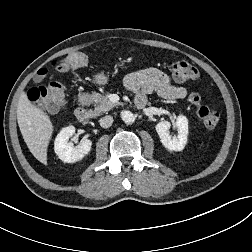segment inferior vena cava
Wrapping results in <instances>:
<instances>
[{
  "mask_svg": "<svg viewBox=\"0 0 252 252\" xmlns=\"http://www.w3.org/2000/svg\"><path fill=\"white\" fill-rule=\"evenodd\" d=\"M100 126L103 128H109L113 123V117L107 115L99 120Z\"/></svg>",
  "mask_w": 252,
  "mask_h": 252,
  "instance_id": "602c4592",
  "label": "inferior vena cava"
}]
</instances>
